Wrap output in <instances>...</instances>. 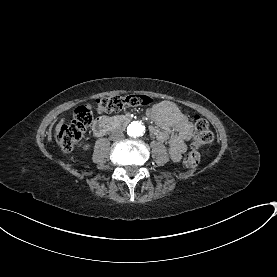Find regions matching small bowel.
Masks as SVG:
<instances>
[{"label":"small bowel","mask_w":277,"mask_h":277,"mask_svg":"<svg viewBox=\"0 0 277 277\" xmlns=\"http://www.w3.org/2000/svg\"><path fill=\"white\" fill-rule=\"evenodd\" d=\"M147 114L154 122V126L150 128L151 133L159 142L168 145L173 161H180L186 151V142L193 136V123L169 100L155 104Z\"/></svg>","instance_id":"1"}]
</instances>
